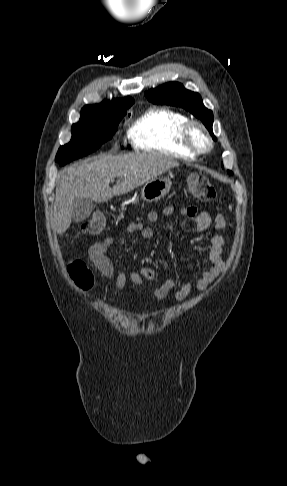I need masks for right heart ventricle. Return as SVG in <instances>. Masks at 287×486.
Listing matches in <instances>:
<instances>
[{
  "mask_svg": "<svg viewBox=\"0 0 287 486\" xmlns=\"http://www.w3.org/2000/svg\"><path fill=\"white\" fill-rule=\"evenodd\" d=\"M187 122L188 118L179 111L152 108L130 126L127 136L137 151L192 159L195 154L181 140V130Z\"/></svg>",
  "mask_w": 287,
  "mask_h": 486,
  "instance_id": "e07e8e85",
  "label": "right heart ventricle"
}]
</instances>
